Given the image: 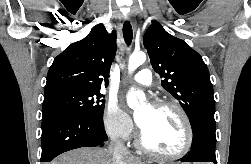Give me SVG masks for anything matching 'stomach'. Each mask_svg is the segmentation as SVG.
Instances as JSON below:
<instances>
[{"instance_id": "1", "label": "stomach", "mask_w": 251, "mask_h": 164, "mask_svg": "<svg viewBox=\"0 0 251 164\" xmlns=\"http://www.w3.org/2000/svg\"><path fill=\"white\" fill-rule=\"evenodd\" d=\"M159 164H165L164 162H160ZM176 164H180V163H176Z\"/></svg>"}]
</instances>
